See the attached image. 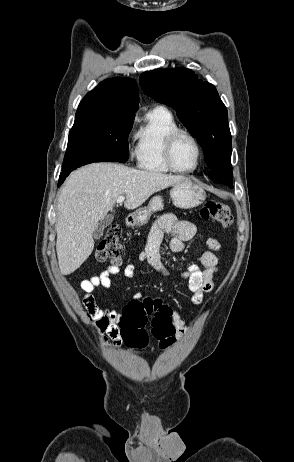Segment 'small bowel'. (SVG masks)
<instances>
[{"instance_id":"small-bowel-1","label":"small bowel","mask_w":294,"mask_h":462,"mask_svg":"<svg viewBox=\"0 0 294 462\" xmlns=\"http://www.w3.org/2000/svg\"><path fill=\"white\" fill-rule=\"evenodd\" d=\"M166 233L172 236L169 250L173 253H179L184 250L185 243L197 235V229L193 223L180 220L169 213L162 215L154 224L146 248L139 255V261L148 263L155 271L164 276L169 275V271L161 260L162 241ZM206 243L208 250L202 253L200 262L188 265L181 274V277L187 282L193 304H201L204 294L213 289V278L217 272V253L221 249L220 243L213 238H208ZM119 271L118 266L111 265L100 274L80 283L84 292L83 304L88 317L101 334L102 343L115 349L125 344L119 326L121 313L114 308H104L96 295V290L110 288L111 277L117 275ZM135 273L136 268L133 264L127 265L124 269L125 277L132 278ZM172 323L177 336L181 337L187 333L188 326L178 311L172 312Z\"/></svg>"}]
</instances>
